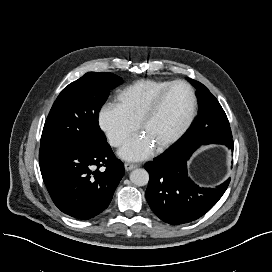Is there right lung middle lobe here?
I'll return each instance as SVG.
<instances>
[{
    "label": "right lung middle lobe",
    "instance_id": "obj_1",
    "mask_svg": "<svg viewBox=\"0 0 272 272\" xmlns=\"http://www.w3.org/2000/svg\"><path fill=\"white\" fill-rule=\"evenodd\" d=\"M122 79L108 72H88L65 87L44 124L41 146L96 145L106 142L98 113Z\"/></svg>",
    "mask_w": 272,
    "mask_h": 272
}]
</instances>
